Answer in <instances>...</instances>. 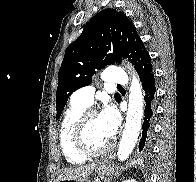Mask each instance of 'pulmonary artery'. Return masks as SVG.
I'll use <instances>...</instances> for the list:
<instances>
[{
    "label": "pulmonary artery",
    "instance_id": "obj_1",
    "mask_svg": "<svg viewBox=\"0 0 196 182\" xmlns=\"http://www.w3.org/2000/svg\"><path fill=\"white\" fill-rule=\"evenodd\" d=\"M104 80L113 85H127L128 77L125 71L111 67L104 72ZM95 89L93 86H86L78 89L72 95V101L80 103L84 106H90L93 103Z\"/></svg>",
    "mask_w": 196,
    "mask_h": 182
}]
</instances>
